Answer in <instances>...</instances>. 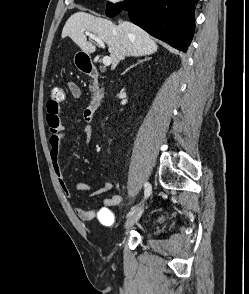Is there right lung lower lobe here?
Returning a JSON list of instances; mask_svg holds the SVG:
<instances>
[{
	"instance_id": "obj_1",
	"label": "right lung lower lobe",
	"mask_w": 249,
	"mask_h": 294,
	"mask_svg": "<svg viewBox=\"0 0 249 294\" xmlns=\"http://www.w3.org/2000/svg\"><path fill=\"white\" fill-rule=\"evenodd\" d=\"M197 0H131L130 20L154 37L186 52L194 34Z\"/></svg>"
}]
</instances>
